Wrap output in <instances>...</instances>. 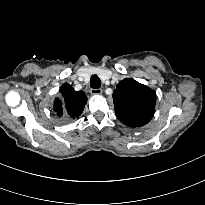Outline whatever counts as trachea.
<instances>
[{
	"label": "trachea",
	"mask_w": 205,
	"mask_h": 205,
	"mask_svg": "<svg viewBox=\"0 0 205 205\" xmlns=\"http://www.w3.org/2000/svg\"><path fill=\"white\" fill-rule=\"evenodd\" d=\"M90 86L93 89H98L101 86V80L97 75H93L90 79Z\"/></svg>",
	"instance_id": "trachea-1"
}]
</instances>
